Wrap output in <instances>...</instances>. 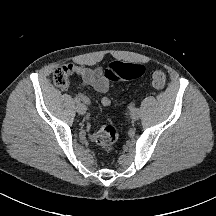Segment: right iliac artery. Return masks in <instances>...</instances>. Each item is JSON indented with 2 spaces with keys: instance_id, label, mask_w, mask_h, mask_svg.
Returning <instances> with one entry per match:
<instances>
[{
  "instance_id": "right-iliac-artery-1",
  "label": "right iliac artery",
  "mask_w": 216,
  "mask_h": 216,
  "mask_svg": "<svg viewBox=\"0 0 216 216\" xmlns=\"http://www.w3.org/2000/svg\"><path fill=\"white\" fill-rule=\"evenodd\" d=\"M74 102H75L76 104H79V103H80V99H78V98L76 97V98H74Z\"/></svg>"
}]
</instances>
